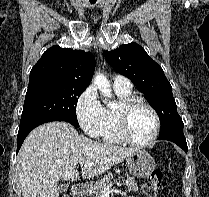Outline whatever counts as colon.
<instances>
[{
  "label": "colon",
  "mask_w": 209,
  "mask_h": 197,
  "mask_svg": "<svg viewBox=\"0 0 209 197\" xmlns=\"http://www.w3.org/2000/svg\"><path fill=\"white\" fill-rule=\"evenodd\" d=\"M163 173L160 170H154L143 186V191L147 197H155L162 185ZM63 197H68L67 195Z\"/></svg>",
  "instance_id": "1"
}]
</instances>
